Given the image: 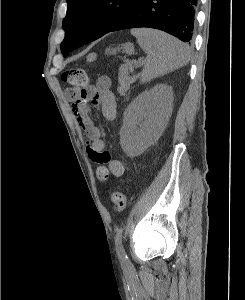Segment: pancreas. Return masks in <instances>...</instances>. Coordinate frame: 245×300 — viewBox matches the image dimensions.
I'll return each instance as SVG.
<instances>
[{
    "instance_id": "obj_1",
    "label": "pancreas",
    "mask_w": 245,
    "mask_h": 300,
    "mask_svg": "<svg viewBox=\"0 0 245 300\" xmlns=\"http://www.w3.org/2000/svg\"><path fill=\"white\" fill-rule=\"evenodd\" d=\"M119 88H118V92L121 95H124L125 92L129 89L130 84L134 81L133 77H130V75L128 74V68L127 67H123L120 69V73H119Z\"/></svg>"
}]
</instances>
